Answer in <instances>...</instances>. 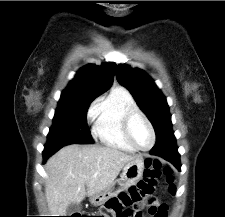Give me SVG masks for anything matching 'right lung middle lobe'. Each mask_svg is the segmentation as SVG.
Wrapping results in <instances>:
<instances>
[{
    "label": "right lung middle lobe",
    "mask_w": 225,
    "mask_h": 217,
    "mask_svg": "<svg viewBox=\"0 0 225 217\" xmlns=\"http://www.w3.org/2000/svg\"><path fill=\"white\" fill-rule=\"evenodd\" d=\"M93 96H61L53 125L47 136L49 146L93 143L89 132L86 113Z\"/></svg>",
    "instance_id": "right-lung-middle-lobe-1"
}]
</instances>
